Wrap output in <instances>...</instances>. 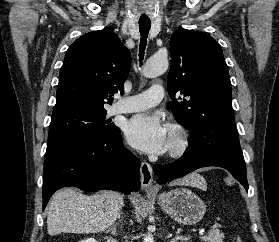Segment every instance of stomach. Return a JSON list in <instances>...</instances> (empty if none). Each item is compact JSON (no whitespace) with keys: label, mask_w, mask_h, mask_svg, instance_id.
Wrapping results in <instances>:
<instances>
[{"label":"stomach","mask_w":279,"mask_h":242,"mask_svg":"<svg viewBox=\"0 0 279 242\" xmlns=\"http://www.w3.org/2000/svg\"><path fill=\"white\" fill-rule=\"evenodd\" d=\"M157 201L172 219L183 225L198 223L206 212L204 201L184 187L159 194Z\"/></svg>","instance_id":"obj_1"}]
</instances>
